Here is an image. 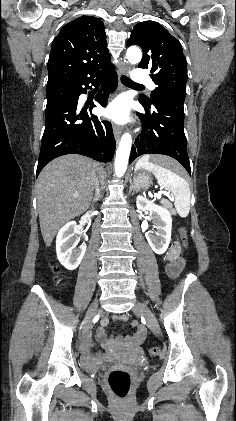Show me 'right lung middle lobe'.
Listing matches in <instances>:
<instances>
[{
	"label": "right lung middle lobe",
	"mask_w": 236,
	"mask_h": 421,
	"mask_svg": "<svg viewBox=\"0 0 236 421\" xmlns=\"http://www.w3.org/2000/svg\"><path fill=\"white\" fill-rule=\"evenodd\" d=\"M47 105L71 99L68 88L64 86H47Z\"/></svg>",
	"instance_id": "1"
}]
</instances>
